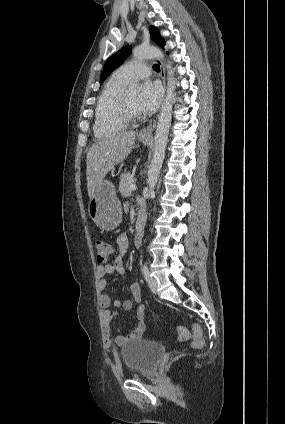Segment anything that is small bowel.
I'll return each mask as SVG.
<instances>
[{"label": "small bowel", "instance_id": "small-bowel-1", "mask_svg": "<svg viewBox=\"0 0 285 424\" xmlns=\"http://www.w3.org/2000/svg\"><path fill=\"white\" fill-rule=\"evenodd\" d=\"M140 239H136V245H140ZM117 246V256L112 263L105 265H99L97 267V275L99 278V291H100V305L104 309V317L107 323H110L111 320L117 315L116 311L109 310L111 305L110 296L104 291L106 287V278L112 275H118L121 279H125L124 266H123V256L128 248V238L126 234L121 233L116 237L115 240ZM130 293L132 295L131 299H125L123 301L115 300L113 302L114 307H122L124 310H134L136 324L132 331L129 333H120L114 339L107 342V346L112 345L121 346L128 341L140 339L146 329L145 325V308L141 303V286L138 282L133 283L130 286Z\"/></svg>", "mask_w": 285, "mask_h": 424}]
</instances>
